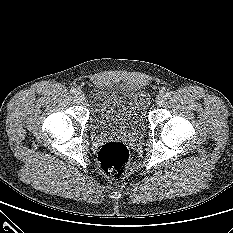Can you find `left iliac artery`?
Listing matches in <instances>:
<instances>
[{
  "mask_svg": "<svg viewBox=\"0 0 233 233\" xmlns=\"http://www.w3.org/2000/svg\"><path fill=\"white\" fill-rule=\"evenodd\" d=\"M171 95H172L171 92H167V93L165 94V97H166V98H170Z\"/></svg>",
  "mask_w": 233,
  "mask_h": 233,
  "instance_id": "1",
  "label": "left iliac artery"
}]
</instances>
